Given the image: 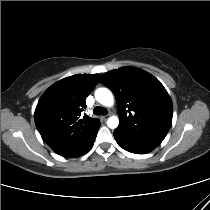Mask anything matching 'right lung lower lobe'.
I'll list each match as a JSON object with an SVG mask.
<instances>
[{
	"label": "right lung lower lobe",
	"mask_w": 210,
	"mask_h": 210,
	"mask_svg": "<svg viewBox=\"0 0 210 210\" xmlns=\"http://www.w3.org/2000/svg\"><path fill=\"white\" fill-rule=\"evenodd\" d=\"M95 138H96V136L90 142H88L81 148L77 149L74 153L70 154L67 158L79 157V156L87 153L92 148Z\"/></svg>",
	"instance_id": "98d812e1"
}]
</instances>
